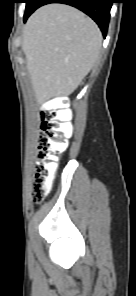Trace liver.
<instances>
[{
    "instance_id": "1",
    "label": "liver",
    "mask_w": 136,
    "mask_h": 296,
    "mask_svg": "<svg viewBox=\"0 0 136 296\" xmlns=\"http://www.w3.org/2000/svg\"><path fill=\"white\" fill-rule=\"evenodd\" d=\"M101 44L100 29L78 9L64 4L38 8L22 40L37 102L73 93L98 60Z\"/></svg>"
}]
</instances>
